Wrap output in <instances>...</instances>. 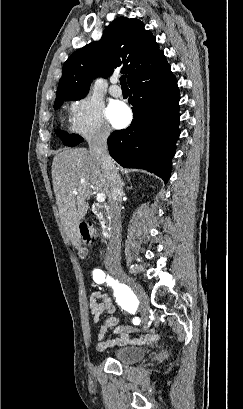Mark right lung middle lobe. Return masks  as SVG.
<instances>
[{
  "label": "right lung middle lobe",
  "instance_id": "1",
  "mask_svg": "<svg viewBox=\"0 0 243 409\" xmlns=\"http://www.w3.org/2000/svg\"><path fill=\"white\" fill-rule=\"evenodd\" d=\"M64 101H68V100H61L60 102L55 103L54 108L58 109L62 105V103ZM58 133H59V137L64 138L63 143L65 145H67V146H70V147L76 146V145H78L79 143H81L83 141V138L78 136V135H74V134L73 135H68L66 133L63 134L60 131Z\"/></svg>",
  "mask_w": 243,
  "mask_h": 409
}]
</instances>
